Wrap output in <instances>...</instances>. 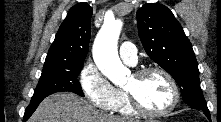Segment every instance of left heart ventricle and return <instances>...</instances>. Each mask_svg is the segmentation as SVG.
<instances>
[{"label":"left heart ventricle","mask_w":221,"mask_h":122,"mask_svg":"<svg viewBox=\"0 0 221 122\" xmlns=\"http://www.w3.org/2000/svg\"><path fill=\"white\" fill-rule=\"evenodd\" d=\"M126 88L133 90L142 105L152 111L163 110L171 102L170 86L158 73L148 74L140 80H136L133 76Z\"/></svg>","instance_id":"1"}]
</instances>
